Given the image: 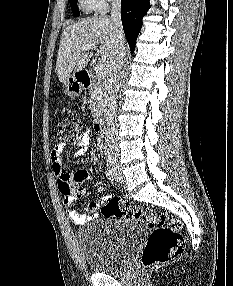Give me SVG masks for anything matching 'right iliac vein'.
<instances>
[{
  "instance_id": "63e3f726",
  "label": "right iliac vein",
  "mask_w": 233,
  "mask_h": 286,
  "mask_svg": "<svg viewBox=\"0 0 233 286\" xmlns=\"http://www.w3.org/2000/svg\"><path fill=\"white\" fill-rule=\"evenodd\" d=\"M109 166L111 168V170L113 171V173L119 178V179H123L121 172H120V167L116 161L115 158H110L109 159Z\"/></svg>"
}]
</instances>
